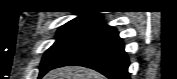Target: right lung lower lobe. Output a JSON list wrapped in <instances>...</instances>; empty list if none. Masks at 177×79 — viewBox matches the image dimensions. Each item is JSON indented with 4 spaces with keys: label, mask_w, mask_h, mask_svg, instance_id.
I'll list each match as a JSON object with an SVG mask.
<instances>
[{
    "label": "right lung lower lobe",
    "mask_w": 177,
    "mask_h": 79,
    "mask_svg": "<svg viewBox=\"0 0 177 79\" xmlns=\"http://www.w3.org/2000/svg\"><path fill=\"white\" fill-rule=\"evenodd\" d=\"M77 65L92 68L109 79H129L128 57L115 28L100 25L51 69Z\"/></svg>",
    "instance_id": "obj_1"
}]
</instances>
